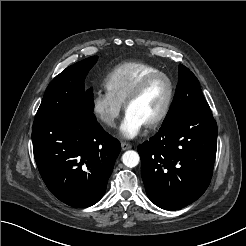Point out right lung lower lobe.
Returning a JSON list of instances; mask_svg holds the SVG:
<instances>
[{"instance_id": "1", "label": "right lung lower lobe", "mask_w": 246, "mask_h": 246, "mask_svg": "<svg viewBox=\"0 0 246 246\" xmlns=\"http://www.w3.org/2000/svg\"><path fill=\"white\" fill-rule=\"evenodd\" d=\"M32 141L41 177L55 197L77 208L102 198L121 146L93 114L34 120Z\"/></svg>"}]
</instances>
